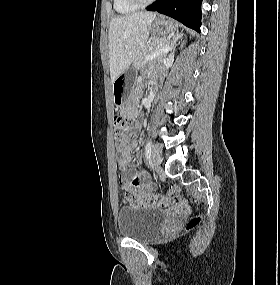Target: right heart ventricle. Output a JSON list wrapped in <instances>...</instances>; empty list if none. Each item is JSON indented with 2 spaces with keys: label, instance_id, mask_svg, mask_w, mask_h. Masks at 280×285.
I'll return each mask as SVG.
<instances>
[{
  "label": "right heart ventricle",
  "instance_id": "1",
  "mask_svg": "<svg viewBox=\"0 0 280 285\" xmlns=\"http://www.w3.org/2000/svg\"><path fill=\"white\" fill-rule=\"evenodd\" d=\"M114 10L119 14H129L138 9L134 4H131L127 0H113Z\"/></svg>",
  "mask_w": 280,
  "mask_h": 285
}]
</instances>
